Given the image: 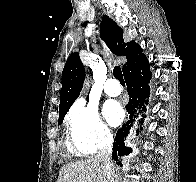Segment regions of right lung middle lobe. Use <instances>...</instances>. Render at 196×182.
Returning a JSON list of instances; mask_svg holds the SVG:
<instances>
[{"mask_svg":"<svg viewBox=\"0 0 196 182\" xmlns=\"http://www.w3.org/2000/svg\"><path fill=\"white\" fill-rule=\"evenodd\" d=\"M64 116H65V115L59 117V120H58V124H59V125L62 123Z\"/></svg>","mask_w":196,"mask_h":182,"instance_id":"dd1d6c3e","label":"right lung middle lobe"}]
</instances>
